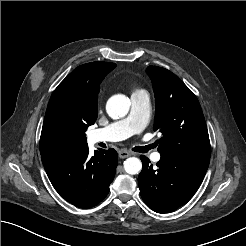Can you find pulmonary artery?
<instances>
[{
	"label": "pulmonary artery",
	"instance_id": "1",
	"mask_svg": "<svg viewBox=\"0 0 246 246\" xmlns=\"http://www.w3.org/2000/svg\"><path fill=\"white\" fill-rule=\"evenodd\" d=\"M151 116V106L148 94L145 91L134 92L131 95V110L129 115L105 128L96 129L90 133V140L97 142H116L140 133L148 124ZM152 160L157 162L161 155L152 154Z\"/></svg>",
	"mask_w": 246,
	"mask_h": 246
}]
</instances>
